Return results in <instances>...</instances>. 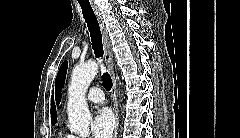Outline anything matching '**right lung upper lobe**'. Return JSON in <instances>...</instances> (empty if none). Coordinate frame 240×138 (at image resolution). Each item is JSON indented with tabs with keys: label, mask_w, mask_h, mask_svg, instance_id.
Masks as SVG:
<instances>
[{
	"label": "right lung upper lobe",
	"mask_w": 240,
	"mask_h": 138,
	"mask_svg": "<svg viewBox=\"0 0 240 138\" xmlns=\"http://www.w3.org/2000/svg\"><path fill=\"white\" fill-rule=\"evenodd\" d=\"M51 123L54 125L57 120V112H56V107L54 104L53 96H52V101H51Z\"/></svg>",
	"instance_id": "right-lung-upper-lobe-1"
}]
</instances>
